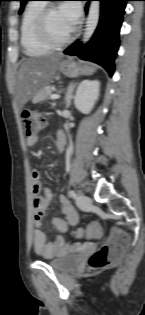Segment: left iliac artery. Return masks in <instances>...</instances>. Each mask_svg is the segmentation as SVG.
Returning a JSON list of instances; mask_svg holds the SVG:
<instances>
[{
    "label": "left iliac artery",
    "mask_w": 145,
    "mask_h": 315,
    "mask_svg": "<svg viewBox=\"0 0 145 315\" xmlns=\"http://www.w3.org/2000/svg\"><path fill=\"white\" fill-rule=\"evenodd\" d=\"M68 195H69V197H72V198H75V197H76V193H75L74 190H70V191L68 192Z\"/></svg>",
    "instance_id": "1"
}]
</instances>
